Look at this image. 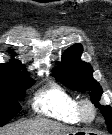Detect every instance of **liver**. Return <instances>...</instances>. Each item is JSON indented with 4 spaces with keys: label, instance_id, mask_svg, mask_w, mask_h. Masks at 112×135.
Masks as SVG:
<instances>
[{
    "label": "liver",
    "instance_id": "6515ba94",
    "mask_svg": "<svg viewBox=\"0 0 112 135\" xmlns=\"http://www.w3.org/2000/svg\"><path fill=\"white\" fill-rule=\"evenodd\" d=\"M70 131L48 120H28L15 127L9 135H67Z\"/></svg>",
    "mask_w": 112,
    "mask_h": 135
}]
</instances>
